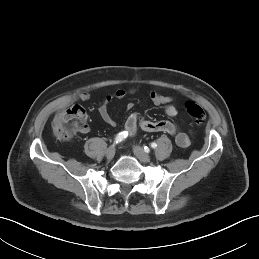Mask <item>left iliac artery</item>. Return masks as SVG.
I'll return each mask as SVG.
<instances>
[{
  "mask_svg": "<svg viewBox=\"0 0 259 259\" xmlns=\"http://www.w3.org/2000/svg\"><path fill=\"white\" fill-rule=\"evenodd\" d=\"M151 147H152V148H156V147H157V144H156L155 142H152V143H151ZM148 150H149V149H148L147 147H145V151L148 152Z\"/></svg>",
  "mask_w": 259,
  "mask_h": 259,
  "instance_id": "1",
  "label": "left iliac artery"
}]
</instances>
